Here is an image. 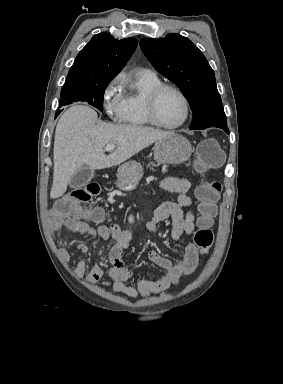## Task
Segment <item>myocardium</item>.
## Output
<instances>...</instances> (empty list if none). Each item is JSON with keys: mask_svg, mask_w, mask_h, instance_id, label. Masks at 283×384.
Returning <instances> with one entry per match:
<instances>
[{"mask_svg": "<svg viewBox=\"0 0 283 384\" xmlns=\"http://www.w3.org/2000/svg\"><path fill=\"white\" fill-rule=\"evenodd\" d=\"M166 90H170L174 93H176L180 99L183 102L184 105V116L180 122L174 125H163L161 124L155 115V104L159 96ZM144 114L146 116L147 121L150 125L162 129V130H176L180 127H182L188 120L190 115V106L187 97L185 94L177 87L170 85V84H160L154 89H152L144 100Z\"/></svg>", "mask_w": 283, "mask_h": 384, "instance_id": "1", "label": "myocardium"}]
</instances>
